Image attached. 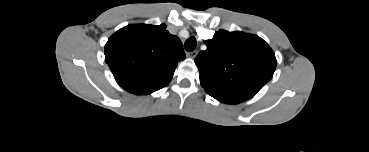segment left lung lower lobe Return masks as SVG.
Returning <instances> with one entry per match:
<instances>
[{
	"mask_svg": "<svg viewBox=\"0 0 369 152\" xmlns=\"http://www.w3.org/2000/svg\"><path fill=\"white\" fill-rule=\"evenodd\" d=\"M212 97H214L216 100L223 102V103H227V104H238L243 102V100L239 99V98H235V97H229V96H223V95H211Z\"/></svg>",
	"mask_w": 369,
	"mask_h": 152,
	"instance_id": "0a47b994",
	"label": "left lung lower lobe"
}]
</instances>
